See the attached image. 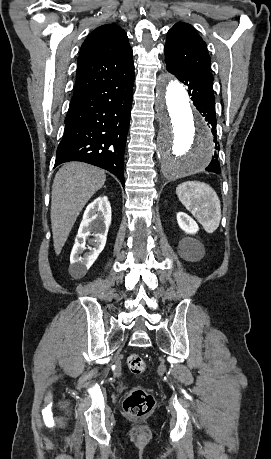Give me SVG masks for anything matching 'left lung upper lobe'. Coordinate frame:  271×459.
<instances>
[{
  "label": "left lung upper lobe",
  "instance_id": "obj_1",
  "mask_svg": "<svg viewBox=\"0 0 271 459\" xmlns=\"http://www.w3.org/2000/svg\"><path fill=\"white\" fill-rule=\"evenodd\" d=\"M164 51L166 67L188 73H211L206 44L190 24L178 22L168 31Z\"/></svg>",
  "mask_w": 271,
  "mask_h": 459
}]
</instances>
